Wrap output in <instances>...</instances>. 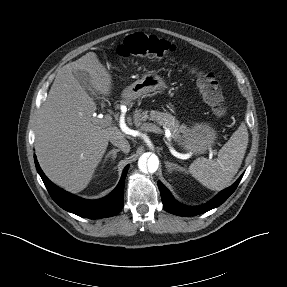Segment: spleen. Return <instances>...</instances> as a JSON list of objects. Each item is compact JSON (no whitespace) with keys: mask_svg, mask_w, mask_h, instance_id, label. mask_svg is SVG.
I'll return each instance as SVG.
<instances>
[{"mask_svg":"<svg viewBox=\"0 0 287 287\" xmlns=\"http://www.w3.org/2000/svg\"><path fill=\"white\" fill-rule=\"evenodd\" d=\"M248 131L244 123L219 150L216 160L197 158L189 166V173L211 190L228 187L238 172L248 145Z\"/></svg>","mask_w":287,"mask_h":287,"instance_id":"obj_1","label":"spleen"}]
</instances>
